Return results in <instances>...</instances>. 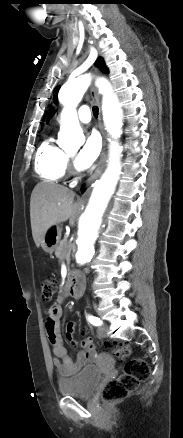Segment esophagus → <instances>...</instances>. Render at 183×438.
<instances>
[{
    "mask_svg": "<svg viewBox=\"0 0 183 438\" xmlns=\"http://www.w3.org/2000/svg\"><path fill=\"white\" fill-rule=\"evenodd\" d=\"M96 72V69H94V73ZM91 96L93 98V100L96 102V104L99 107V118H98V122H99V129L102 135V140H103V145H102V150H101V154L98 160V164L96 169L94 170V172L90 175V177L87 179L86 181V185H89L92 181H94L99 174L101 173L105 161H106V145H107V137H106V133L104 131V127H103V123H102V117H101V103H100V95L98 93V89L94 84V81L91 85Z\"/></svg>",
    "mask_w": 183,
    "mask_h": 438,
    "instance_id": "1",
    "label": "esophagus"
}]
</instances>
